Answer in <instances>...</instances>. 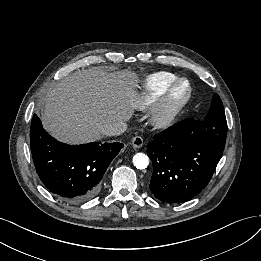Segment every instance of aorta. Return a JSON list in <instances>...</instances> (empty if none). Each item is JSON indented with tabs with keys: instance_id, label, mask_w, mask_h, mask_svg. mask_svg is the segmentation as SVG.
I'll list each match as a JSON object with an SVG mask.
<instances>
[{
	"instance_id": "1",
	"label": "aorta",
	"mask_w": 261,
	"mask_h": 261,
	"mask_svg": "<svg viewBox=\"0 0 261 261\" xmlns=\"http://www.w3.org/2000/svg\"><path fill=\"white\" fill-rule=\"evenodd\" d=\"M133 164L137 169H145L149 165V157L144 153H136L133 156Z\"/></svg>"
}]
</instances>
